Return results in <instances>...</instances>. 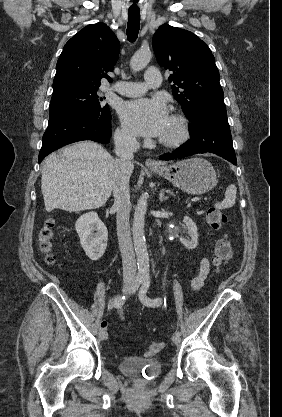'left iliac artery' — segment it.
Instances as JSON below:
<instances>
[{
  "instance_id": "left-iliac-artery-1",
  "label": "left iliac artery",
  "mask_w": 282,
  "mask_h": 417,
  "mask_svg": "<svg viewBox=\"0 0 282 417\" xmlns=\"http://www.w3.org/2000/svg\"><path fill=\"white\" fill-rule=\"evenodd\" d=\"M149 286H150V279L146 277L142 280V286L139 290V298L141 302L150 307L160 306L162 304L161 298L151 299L147 296V291H148ZM175 334L180 336L179 331H176Z\"/></svg>"
}]
</instances>
